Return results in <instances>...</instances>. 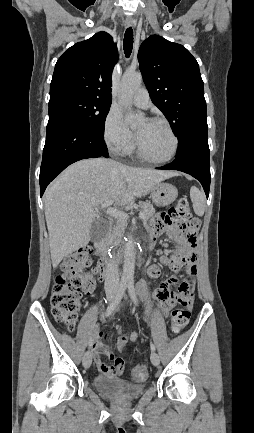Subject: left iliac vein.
Instances as JSON below:
<instances>
[{"label":"left iliac vein","mask_w":254,"mask_h":433,"mask_svg":"<svg viewBox=\"0 0 254 433\" xmlns=\"http://www.w3.org/2000/svg\"><path fill=\"white\" fill-rule=\"evenodd\" d=\"M150 359H151V362H152V364L154 366H158L159 365L160 358H159V355L156 352H154V351L151 352Z\"/></svg>","instance_id":"1"}]
</instances>
